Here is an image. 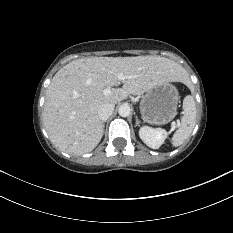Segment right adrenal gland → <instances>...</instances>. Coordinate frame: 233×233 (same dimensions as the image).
<instances>
[{
    "label": "right adrenal gland",
    "mask_w": 233,
    "mask_h": 233,
    "mask_svg": "<svg viewBox=\"0 0 233 233\" xmlns=\"http://www.w3.org/2000/svg\"><path fill=\"white\" fill-rule=\"evenodd\" d=\"M105 122H106V121H103V122H102V127H103V129L105 128Z\"/></svg>",
    "instance_id": "1"
}]
</instances>
